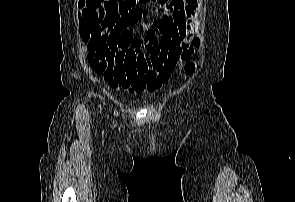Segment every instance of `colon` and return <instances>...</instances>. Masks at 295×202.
Wrapping results in <instances>:
<instances>
[{
	"mask_svg": "<svg viewBox=\"0 0 295 202\" xmlns=\"http://www.w3.org/2000/svg\"><path fill=\"white\" fill-rule=\"evenodd\" d=\"M164 3L166 0H153ZM103 7L107 15H113L114 17L106 18L98 24L88 23L87 30L83 37L91 47H107L108 40L110 39V32L115 18H121L130 14L134 7L141 2H148V0H102ZM163 56V55H162ZM187 73H193L195 71V64L192 62L187 63ZM113 81V80H112Z\"/></svg>",
	"mask_w": 295,
	"mask_h": 202,
	"instance_id": "obj_1",
	"label": "colon"
}]
</instances>
